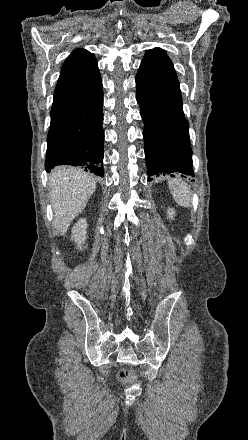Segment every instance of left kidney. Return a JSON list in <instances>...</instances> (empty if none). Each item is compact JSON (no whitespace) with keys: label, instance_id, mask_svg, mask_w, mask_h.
I'll list each match as a JSON object with an SVG mask.
<instances>
[{"label":"left kidney","instance_id":"1","mask_svg":"<svg viewBox=\"0 0 248 440\" xmlns=\"http://www.w3.org/2000/svg\"><path fill=\"white\" fill-rule=\"evenodd\" d=\"M167 215H168V218H169V219H174V216H175V210L172 209V208H169V209L167 210Z\"/></svg>","mask_w":248,"mask_h":440}]
</instances>
